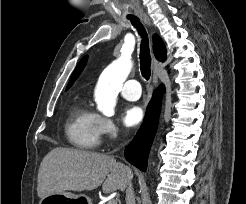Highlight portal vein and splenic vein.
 <instances>
[{
    "mask_svg": "<svg viewBox=\"0 0 246 204\" xmlns=\"http://www.w3.org/2000/svg\"><path fill=\"white\" fill-rule=\"evenodd\" d=\"M107 204H117V200L116 199H111L108 201Z\"/></svg>",
    "mask_w": 246,
    "mask_h": 204,
    "instance_id": "18ae733b",
    "label": "portal vein and splenic vein"
}]
</instances>
